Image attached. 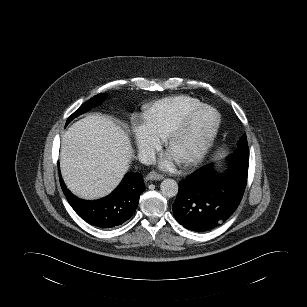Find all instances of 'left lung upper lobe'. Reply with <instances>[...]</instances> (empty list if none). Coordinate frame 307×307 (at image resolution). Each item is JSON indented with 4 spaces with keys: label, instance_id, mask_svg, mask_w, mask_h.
Returning <instances> with one entry per match:
<instances>
[{
    "label": "left lung upper lobe",
    "instance_id": "left-lung-upper-lobe-1",
    "mask_svg": "<svg viewBox=\"0 0 307 307\" xmlns=\"http://www.w3.org/2000/svg\"><path fill=\"white\" fill-rule=\"evenodd\" d=\"M237 150L230 155V158L249 160V149L246 135L244 134L237 143Z\"/></svg>",
    "mask_w": 307,
    "mask_h": 307
}]
</instances>
